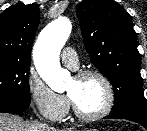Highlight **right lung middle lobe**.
I'll list each match as a JSON object with an SVG mask.
<instances>
[{
  "label": "right lung middle lobe",
  "instance_id": "1",
  "mask_svg": "<svg viewBox=\"0 0 147 131\" xmlns=\"http://www.w3.org/2000/svg\"><path fill=\"white\" fill-rule=\"evenodd\" d=\"M29 70L30 63L0 60V100L30 104Z\"/></svg>",
  "mask_w": 147,
  "mask_h": 131
}]
</instances>
